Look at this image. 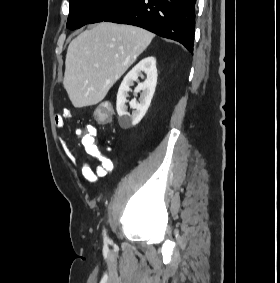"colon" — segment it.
Wrapping results in <instances>:
<instances>
[{"label": "colon", "instance_id": "colon-1", "mask_svg": "<svg viewBox=\"0 0 280 283\" xmlns=\"http://www.w3.org/2000/svg\"><path fill=\"white\" fill-rule=\"evenodd\" d=\"M95 120L97 124H110V120H113V112L109 104L102 103L97 107ZM84 132H97V127H84Z\"/></svg>", "mask_w": 280, "mask_h": 283}]
</instances>
